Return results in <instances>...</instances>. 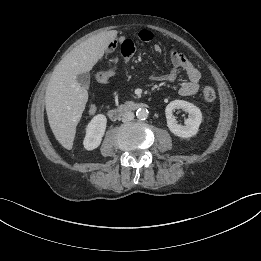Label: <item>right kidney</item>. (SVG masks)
Segmentation results:
<instances>
[{"instance_id":"ca27d5eb","label":"right kidney","mask_w":261,"mask_h":261,"mask_svg":"<svg viewBox=\"0 0 261 261\" xmlns=\"http://www.w3.org/2000/svg\"><path fill=\"white\" fill-rule=\"evenodd\" d=\"M107 118L103 114L94 116L86 127V135L83 141L86 150L96 149L104 136Z\"/></svg>"}]
</instances>
